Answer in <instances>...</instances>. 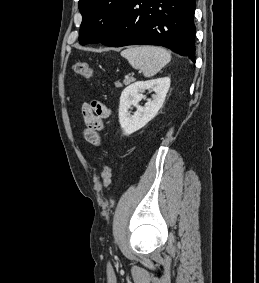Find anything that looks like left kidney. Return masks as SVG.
I'll return each mask as SVG.
<instances>
[{
	"mask_svg": "<svg viewBox=\"0 0 259 283\" xmlns=\"http://www.w3.org/2000/svg\"><path fill=\"white\" fill-rule=\"evenodd\" d=\"M170 87V78L163 77L149 81H137L126 87L120 97L119 122L124 135L128 136L144 127L162 107ZM145 90L154 91L152 99H147L144 107L138 103L146 99ZM134 106L137 111L131 115L129 109Z\"/></svg>",
	"mask_w": 259,
	"mask_h": 283,
	"instance_id": "obj_1",
	"label": "left kidney"
}]
</instances>
